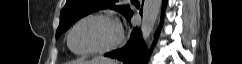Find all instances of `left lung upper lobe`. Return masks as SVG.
<instances>
[{"mask_svg":"<svg viewBox=\"0 0 242 64\" xmlns=\"http://www.w3.org/2000/svg\"><path fill=\"white\" fill-rule=\"evenodd\" d=\"M119 0H66L60 13V24L56 31V38L68 30L78 19L100 9L110 8L127 17L131 9L129 6L117 5Z\"/></svg>","mask_w":242,"mask_h":64,"instance_id":"1","label":"left lung upper lobe"}]
</instances>
